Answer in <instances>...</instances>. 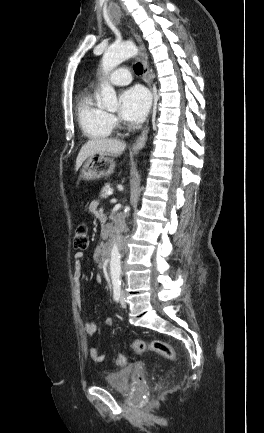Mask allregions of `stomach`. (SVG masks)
<instances>
[{
  "instance_id": "0dacf381",
  "label": "stomach",
  "mask_w": 264,
  "mask_h": 433,
  "mask_svg": "<svg viewBox=\"0 0 264 433\" xmlns=\"http://www.w3.org/2000/svg\"><path fill=\"white\" fill-rule=\"evenodd\" d=\"M116 163L107 155H93L84 163L80 178L82 180H97L110 176L115 170Z\"/></svg>"
}]
</instances>
